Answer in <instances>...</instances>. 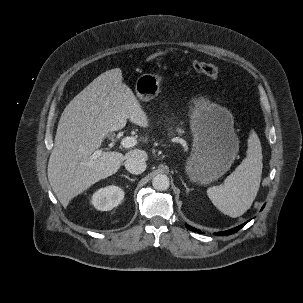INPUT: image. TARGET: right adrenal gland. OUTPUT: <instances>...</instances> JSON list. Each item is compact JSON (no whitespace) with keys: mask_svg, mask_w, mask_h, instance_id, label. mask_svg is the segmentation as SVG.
<instances>
[{"mask_svg":"<svg viewBox=\"0 0 303 303\" xmlns=\"http://www.w3.org/2000/svg\"><path fill=\"white\" fill-rule=\"evenodd\" d=\"M123 177H125L126 179H128V180H130V181H135L136 180V178H130L129 176H127V175H123Z\"/></svg>","mask_w":303,"mask_h":303,"instance_id":"obj_1","label":"right adrenal gland"}]
</instances>
